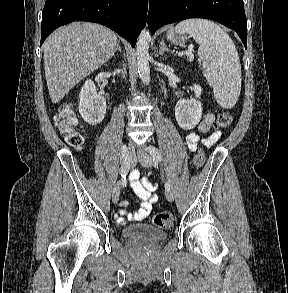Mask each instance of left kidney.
Wrapping results in <instances>:
<instances>
[{
  "label": "left kidney",
  "instance_id": "1",
  "mask_svg": "<svg viewBox=\"0 0 288 293\" xmlns=\"http://www.w3.org/2000/svg\"><path fill=\"white\" fill-rule=\"evenodd\" d=\"M195 99H181L175 106V117L178 125L185 130L193 129L201 120L202 104L199 98L202 88L198 84L193 85Z\"/></svg>",
  "mask_w": 288,
  "mask_h": 293
}]
</instances>
